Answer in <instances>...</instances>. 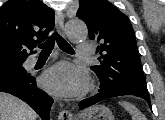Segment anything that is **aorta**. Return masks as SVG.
Wrapping results in <instances>:
<instances>
[{
    "instance_id": "762f6f07",
    "label": "aorta",
    "mask_w": 165,
    "mask_h": 120,
    "mask_svg": "<svg viewBox=\"0 0 165 120\" xmlns=\"http://www.w3.org/2000/svg\"><path fill=\"white\" fill-rule=\"evenodd\" d=\"M67 36L72 40L85 39L88 35V30L85 23L78 19L69 20L65 25Z\"/></svg>"
}]
</instances>
